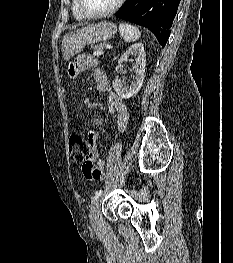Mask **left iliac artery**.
I'll list each match as a JSON object with an SVG mask.
<instances>
[{"mask_svg":"<svg viewBox=\"0 0 233 263\" xmlns=\"http://www.w3.org/2000/svg\"><path fill=\"white\" fill-rule=\"evenodd\" d=\"M101 194H102V190L96 191L95 196H94V200H97L101 196Z\"/></svg>","mask_w":233,"mask_h":263,"instance_id":"left-iliac-artery-1","label":"left iliac artery"}]
</instances>
